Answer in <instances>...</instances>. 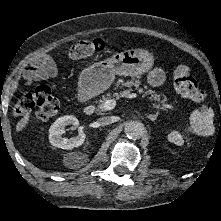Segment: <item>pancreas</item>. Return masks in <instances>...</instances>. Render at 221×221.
<instances>
[{
    "instance_id": "pancreas-1",
    "label": "pancreas",
    "mask_w": 221,
    "mask_h": 221,
    "mask_svg": "<svg viewBox=\"0 0 221 221\" xmlns=\"http://www.w3.org/2000/svg\"><path fill=\"white\" fill-rule=\"evenodd\" d=\"M141 85V82L139 80V77L137 78H132L130 81L129 80H118L116 82V87L115 90L118 89L119 87L121 89L127 88L124 91H121L120 94L118 93H114L113 95H111L110 93H108L107 95H103L99 100H98V106L96 108V114L98 115H102L105 112L104 109V103L109 100L111 97H121L123 95L128 94L129 91H132L133 87L138 89L139 93L143 94L144 96H148L150 95V99L154 100L155 102H161V103H165L167 101L166 98H164L163 100H161V96L160 94L156 93L153 90H147L144 91V89L147 88V86H144L143 88H139V86Z\"/></svg>"
}]
</instances>
